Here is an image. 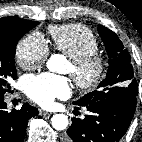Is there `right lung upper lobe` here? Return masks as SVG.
Instances as JSON below:
<instances>
[{
	"label": "right lung upper lobe",
	"mask_w": 142,
	"mask_h": 142,
	"mask_svg": "<svg viewBox=\"0 0 142 142\" xmlns=\"http://www.w3.org/2000/svg\"><path fill=\"white\" fill-rule=\"evenodd\" d=\"M18 19H20V18L11 17V16H9V17H3V18L0 19V26H2V25H8L9 23H13V22L17 21Z\"/></svg>",
	"instance_id": "obj_1"
}]
</instances>
